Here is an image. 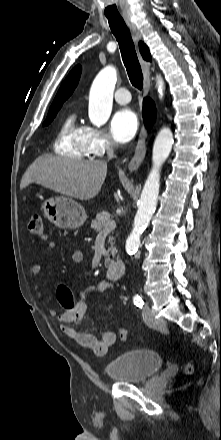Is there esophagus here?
<instances>
[{
    "mask_svg": "<svg viewBox=\"0 0 221 440\" xmlns=\"http://www.w3.org/2000/svg\"><path fill=\"white\" fill-rule=\"evenodd\" d=\"M125 23L130 29L132 37L136 43L141 40V34L137 29L136 25L131 21L129 17H124ZM140 64L142 67L143 75H144V95L146 96L149 92L150 88V65L147 61L143 60L140 56ZM146 140H147V130L143 126L140 130L138 141L135 147V153L128 164V169L130 172H136L143 162L146 155Z\"/></svg>",
    "mask_w": 221,
    "mask_h": 440,
    "instance_id": "34e87169",
    "label": "esophagus"
}]
</instances>
